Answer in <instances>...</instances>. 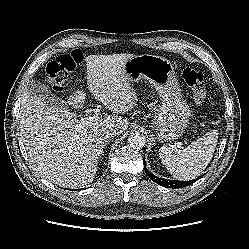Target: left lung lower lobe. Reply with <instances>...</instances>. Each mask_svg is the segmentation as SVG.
<instances>
[{"mask_svg": "<svg viewBox=\"0 0 249 249\" xmlns=\"http://www.w3.org/2000/svg\"><path fill=\"white\" fill-rule=\"evenodd\" d=\"M143 164H144L145 172L147 173L149 178L151 180H153L154 182H156L157 184L164 186V187H167V188L185 187V186H188V185L196 182L199 178H201V176H200L199 178H196V179L190 180V181H177V180L163 179V178H159V177L155 176L154 174H152L150 171L147 170V168L145 166V160H143Z\"/></svg>", "mask_w": 249, "mask_h": 249, "instance_id": "0a47b994", "label": "left lung lower lobe"}]
</instances>
